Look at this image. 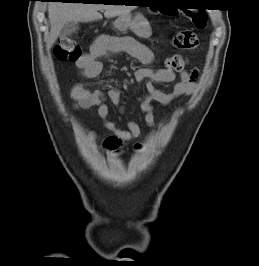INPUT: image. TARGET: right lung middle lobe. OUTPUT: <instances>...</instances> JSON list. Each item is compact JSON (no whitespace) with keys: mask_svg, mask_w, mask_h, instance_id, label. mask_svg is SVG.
Masks as SVG:
<instances>
[{"mask_svg":"<svg viewBox=\"0 0 259 266\" xmlns=\"http://www.w3.org/2000/svg\"><path fill=\"white\" fill-rule=\"evenodd\" d=\"M85 1L91 2V1H95V0H85Z\"/></svg>","mask_w":259,"mask_h":266,"instance_id":"right-lung-middle-lobe-1","label":"right lung middle lobe"}]
</instances>
